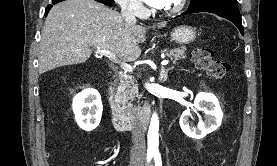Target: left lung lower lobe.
Instances as JSON below:
<instances>
[{"mask_svg": "<svg viewBox=\"0 0 277 166\" xmlns=\"http://www.w3.org/2000/svg\"><path fill=\"white\" fill-rule=\"evenodd\" d=\"M198 12H210L214 13L220 17L226 18L233 22L240 30L241 34L244 35V30L241 21V15L237 4H227V3H212L197 7L195 9L188 10L182 13L180 16L198 13Z\"/></svg>", "mask_w": 277, "mask_h": 166, "instance_id": "1", "label": "left lung lower lobe"}]
</instances>
